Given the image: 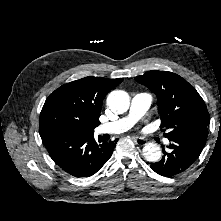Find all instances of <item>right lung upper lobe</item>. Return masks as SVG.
Masks as SVG:
<instances>
[{"label":"right lung upper lobe","instance_id":"1","mask_svg":"<svg viewBox=\"0 0 221 221\" xmlns=\"http://www.w3.org/2000/svg\"><path fill=\"white\" fill-rule=\"evenodd\" d=\"M123 78L85 77L64 84L45 101L39 119L40 135L53 132L93 134L103 99Z\"/></svg>","mask_w":221,"mask_h":221}]
</instances>
